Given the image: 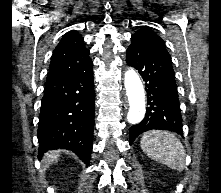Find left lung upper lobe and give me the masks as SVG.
I'll list each match as a JSON object with an SVG mask.
<instances>
[{
    "label": "left lung upper lobe",
    "mask_w": 221,
    "mask_h": 193,
    "mask_svg": "<svg viewBox=\"0 0 221 193\" xmlns=\"http://www.w3.org/2000/svg\"><path fill=\"white\" fill-rule=\"evenodd\" d=\"M131 39L132 43L139 44L158 55L171 58L170 54L166 50V46L162 38L147 26H143L135 32Z\"/></svg>",
    "instance_id": "5c2ea615"
}]
</instances>
